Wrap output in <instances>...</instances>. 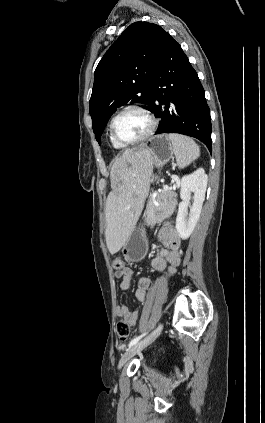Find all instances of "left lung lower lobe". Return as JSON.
<instances>
[{
    "label": "left lung lower lobe",
    "instance_id": "obj_1",
    "mask_svg": "<svg viewBox=\"0 0 265 423\" xmlns=\"http://www.w3.org/2000/svg\"><path fill=\"white\" fill-rule=\"evenodd\" d=\"M149 111L161 118L155 134L180 133L211 145L210 110L204 89L181 46L167 34L154 71Z\"/></svg>",
    "mask_w": 265,
    "mask_h": 423
}]
</instances>
